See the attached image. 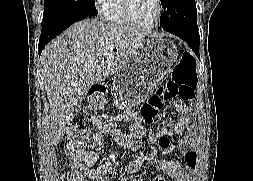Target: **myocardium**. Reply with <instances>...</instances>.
I'll return each mask as SVG.
<instances>
[{
	"mask_svg": "<svg viewBox=\"0 0 253 181\" xmlns=\"http://www.w3.org/2000/svg\"><path fill=\"white\" fill-rule=\"evenodd\" d=\"M156 3H157V14L155 20L150 24H143L138 22L133 16L131 10V0H122V10L126 22L129 25L140 29L149 30L156 28L159 25L163 15V2L162 0H156Z\"/></svg>",
	"mask_w": 253,
	"mask_h": 181,
	"instance_id": "f54148a6",
	"label": "myocardium"
}]
</instances>
